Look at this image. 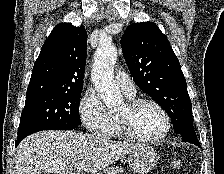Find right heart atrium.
Returning a JSON list of instances; mask_svg holds the SVG:
<instances>
[{"mask_svg": "<svg viewBox=\"0 0 224 174\" xmlns=\"http://www.w3.org/2000/svg\"><path fill=\"white\" fill-rule=\"evenodd\" d=\"M79 113L84 126L93 134L105 136L112 125V115L94 90H87L80 100Z\"/></svg>", "mask_w": 224, "mask_h": 174, "instance_id": "obj_1", "label": "right heart atrium"}]
</instances>
